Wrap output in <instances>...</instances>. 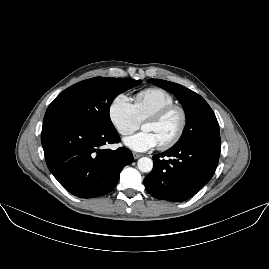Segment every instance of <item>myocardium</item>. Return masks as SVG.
<instances>
[{
    "instance_id": "1",
    "label": "myocardium",
    "mask_w": 269,
    "mask_h": 269,
    "mask_svg": "<svg viewBox=\"0 0 269 269\" xmlns=\"http://www.w3.org/2000/svg\"><path fill=\"white\" fill-rule=\"evenodd\" d=\"M171 112H176L179 114L180 116V126L177 130V132L175 133V135L164 145L159 146L160 150H167L172 148L173 146H175L183 137L186 128H187V124H188V117H187V113L185 111V109L183 107H181L180 105H177L175 103L158 108L152 112H150L146 118L144 119V121L151 119V118H160V117H164L166 115H168Z\"/></svg>"
}]
</instances>
